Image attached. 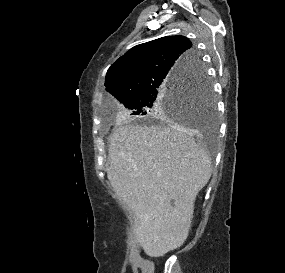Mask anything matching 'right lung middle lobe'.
I'll return each mask as SVG.
<instances>
[{"label":"right lung middle lobe","mask_w":285,"mask_h":273,"mask_svg":"<svg viewBox=\"0 0 285 273\" xmlns=\"http://www.w3.org/2000/svg\"><path fill=\"white\" fill-rule=\"evenodd\" d=\"M132 115L160 120L189 121L214 130L216 109L211 81L202 65L165 84L142 92L124 103Z\"/></svg>","instance_id":"1"}]
</instances>
